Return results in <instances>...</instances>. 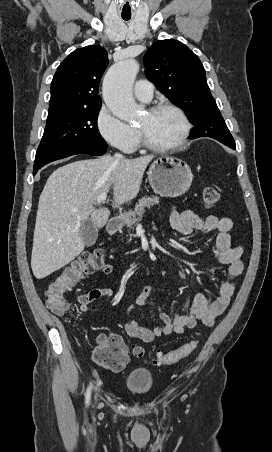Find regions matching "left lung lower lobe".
Wrapping results in <instances>:
<instances>
[{
	"label": "left lung lower lobe",
	"mask_w": 272,
	"mask_h": 452,
	"mask_svg": "<svg viewBox=\"0 0 272 452\" xmlns=\"http://www.w3.org/2000/svg\"><path fill=\"white\" fill-rule=\"evenodd\" d=\"M198 137H199L198 135H190V136H189L190 139H194V138H198ZM218 141H220L221 143H223V144H225V145H227V146H229V147L232 146L231 142H229V140L226 139V138H221V139H219ZM235 146H236V145H235ZM231 148H232V147H231ZM235 148H236V147H235ZM235 148H233V149H235Z\"/></svg>",
	"instance_id": "0a47b994"
}]
</instances>
